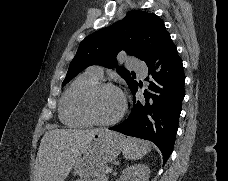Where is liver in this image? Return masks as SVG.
<instances>
[{
	"label": "liver",
	"instance_id": "obj_1",
	"mask_svg": "<svg viewBox=\"0 0 228 181\" xmlns=\"http://www.w3.org/2000/svg\"><path fill=\"white\" fill-rule=\"evenodd\" d=\"M103 129H51L38 149L34 181H64L81 151L86 149L95 133Z\"/></svg>",
	"mask_w": 228,
	"mask_h": 181
}]
</instances>
